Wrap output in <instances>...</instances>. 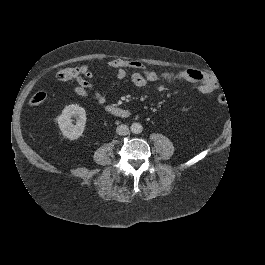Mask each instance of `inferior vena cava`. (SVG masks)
<instances>
[{
    "instance_id": "1",
    "label": "inferior vena cava",
    "mask_w": 265,
    "mask_h": 265,
    "mask_svg": "<svg viewBox=\"0 0 265 265\" xmlns=\"http://www.w3.org/2000/svg\"><path fill=\"white\" fill-rule=\"evenodd\" d=\"M116 132H117V134H119V135H128V134H129V128H128V126H126V125H119V126L116 128Z\"/></svg>"
}]
</instances>
